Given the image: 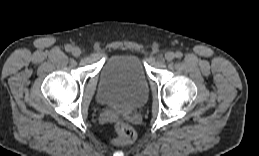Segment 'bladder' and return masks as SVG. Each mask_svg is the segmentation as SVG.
I'll list each match as a JSON object with an SVG mask.
<instances>
[{
  "label": "bladder",
  "mask_w": 259,
  "mask_h": 156,
  "mask_svg": "<svg viewBox=\"0 0 259 156\" xmlns=\"http://www.w3.org/2000/svg\"><path fill=\"white\" fill-rule=\"evenodd\" d=\"M149 77L142 59L132 53L116 54L104 64L97 96L105 103L133 109L145 102Z\"/></svg>",
  "instance_id": "1"
}]
</instances>
